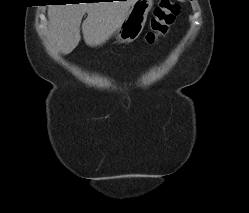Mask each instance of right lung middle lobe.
<instances>
[{"mask_svg":"<svg viewBox=\"0 0 249 213\" xmlns=\"http://www.w3.org/2000/svg\"><path fill=\"white\" fill-rule=\"evenodd\" d=\"M57 1H60V2L66 3V2H74L75 0H57Z\"/></svg>","mask_w":249,"mask_h":213,"instance_id":"right-lung-middle-lobe-1","label":"right lung middle lobe"}]
</instances>
